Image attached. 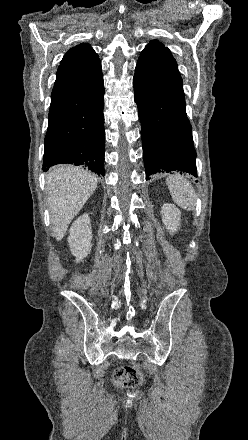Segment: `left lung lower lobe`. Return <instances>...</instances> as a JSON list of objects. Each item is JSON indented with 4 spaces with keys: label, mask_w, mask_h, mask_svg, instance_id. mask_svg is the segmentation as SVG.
<instances>
[{
    "label": "left lung lower lobe",
    "mask_w": 248,
    "mask_h": 440,
    "mask_svg": "<svg viewBox=\"0 0 248 440\" xmlns=\"http://www.w3.org/2000/svg\"><path fill=\"white\" fill-rule=\"evenodd\" d=\"M146 180L156 173L180 171L197 177L196 152L185 101L134 76Z\"/></svg>",
    "instance_id": "1"
}]
</instances>
